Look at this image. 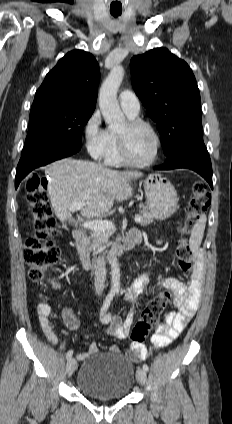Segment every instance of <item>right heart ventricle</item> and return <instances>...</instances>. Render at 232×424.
I'll list each match as a JSON object with an SVG mask.
<instances>
[{"label":"right heart ventricle","mask_w":232,"mask_h":424,"mask_svg":"<svg viewBox=\"0 0 232 424\" xmlns=\"http://www.w3.org/2000/svg\"><path fill=\"white\" fill-rule=\"evenodd\" d=\"M129 118H134V116H129ZM108 134H109V147L104 156V162L110 166H121L124 163L119 154L116 132L113 130H108Z\"/></svg>","instance_id":"obj_1"}]
</instances>
